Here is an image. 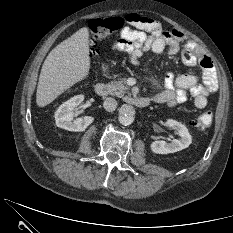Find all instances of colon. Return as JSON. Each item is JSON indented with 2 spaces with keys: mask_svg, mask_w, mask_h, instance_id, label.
<instances>
[{
  "mask_svg": "<svg viewBox=\"0 0 233 233\" xmlns=\"http://www.w3.org/2000/svg\"><path fill=\"white\" fill-rule=\"evenodd\" d=\"M123 25L124 20L121 17L97 18L90 20L89 31L93 44L98 40L118 32L122 29ZM96 51V46L93 45L92 52ZM212 120V112L205 111L193 120L192 126L197 130H205L211 125Z\"/></svg>",
  "mask_w": 233,
  "mask_h": 233,
  "instance_id": "obj_1",
  "label": "colon"
}]
</instances>
